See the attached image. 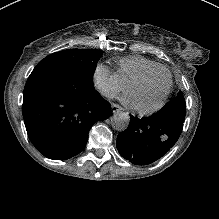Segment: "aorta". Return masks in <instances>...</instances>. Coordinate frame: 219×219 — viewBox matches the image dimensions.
<instances>
[{
  "instance_id": "obj_1",
  "label": "aorta",
  "mask_w": 219,
  "mask_h": 219,
  "mask_svg": "<svg viewBox=\"0 0 219 219\" xmlns=\"http://www.w3.org/2000/svg\"><path fill=\"white\" fill-rule=\"evenodd\" d=\"M130 116L123 111H117L111 118L112 128L116 131H124L129 127Z\"/></svg>"
}]
</instances>
